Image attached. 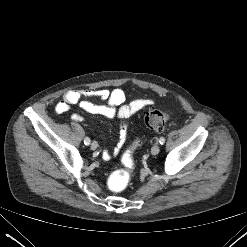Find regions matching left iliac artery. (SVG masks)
<instances>
[{
    "label": "left iliac artery",
    "mask_w": 247,
    "mask_h": 247,
    "mask_svg": "<svg viewBox=\"0 0 247 247\" xmlns=\"http://www.w3.org/2000/svg\"><path fill=\"white\" fill-rule=\"evenodd\" d=\"M159 143H160L161 145H163V144L165 143V138H164V137H160Z\"/></svg>",
    "instance_id": "left-iliac-artery-1"
}]
</instances>
